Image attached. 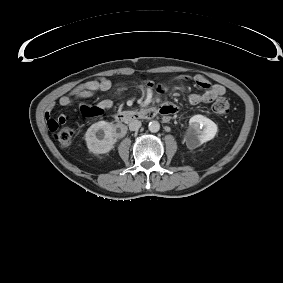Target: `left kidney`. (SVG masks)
Instances as JSON below:
<instances>
[{"instance_id": "1", "label": "left kidney", "mask_w": 283, "mask_h": 283, "mask_svg": "<svg viewBox=\"0 0 283 283\" xmlns=\"http://www.w3.org/2000/svg\"><path fill=\"white\" fill-rule=\"evenodd\" d=\"M217 133V125L209 118L197 114L190 118L185 141L189 149H195L213 139Z\"/></svg>"}]
</instances>
